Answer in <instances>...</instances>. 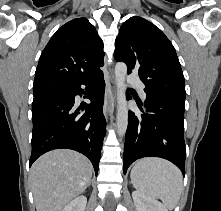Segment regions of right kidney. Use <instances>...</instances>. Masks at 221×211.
<instances>
[{
    "mask_svg": "<svg viewBox=\"0 0 221 211\" xmlns=\"http://www.w3.org/2000/svg\"><path fill=\"white\" fill-rule=\"evenodd\" d=\"M86 204V196L81 195L72 200L62 211H84Z\"/></svg>",
    "mask_w": 221,
    "mask_h": 211,
    "instance_id": "obj_1",
    "label": "right kidney"
}]
</instances>
